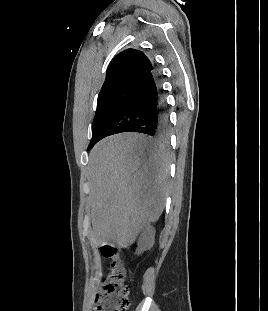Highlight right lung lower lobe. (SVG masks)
<instances>
[{
	"label": "right lung lower lobe",
	"mask_w": 268,
	"mask_h": 311,
	"mask_svg": "<svg viewBox=\"0 0 268 311\" xmlns=\"http://www.w3.org/2000/svg\"><path fill=\"white\" fill-rule=\"evenodd\" d=\"M168 129L160 76L152 65V69L137 82L132 97L104 130L101 139L121 132H138L154 139H164Z\"/></svg>",
	"instance_id": "98d812e1"
}]
</instances>
